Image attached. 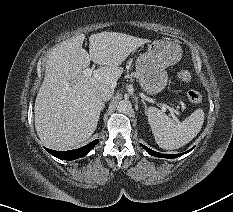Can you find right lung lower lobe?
Instances as JSON below:
<instances>
[{"mask_svg":"<svg viewBox=\"0 0 233 212\" xmlns=\"http://www.w3.org/2000/svg\"><path fill=\"white\" fill-rule=\"evenodd\" d=\"M98 142H99V140H94L91 143H89L88 145L83 146V147L76 149V150H69V151H55V150H50V149H46V150L50 154H52L53 156H55L59 159L74 160V159L81 158V157L85 156L86 154H88Z\"/></svg>","mask_w":233,"mask_h":212,"instance_id":"98d812e1","label":"right lung lower lobe"}]
</instances>
